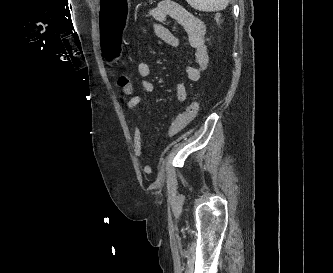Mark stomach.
Here are the masks:
<instances>
[{
	"label": "stomach",
	"instance_id": "obj_1",
	"mask_svg": "<svg viewBox=\"0 0 333 273\" xmlns=\"http://www.w3.org/2000/svg\"><path fill=\"white\" fill-rule=\"evenodd\" d=\"M130 0H99L97 7V23L100 27V38H123L132 23L128 12ZM100 51L111 65H118L122 60L123 44L121 39H102Z\"/></svg>",
	"mask_w": 333,
	"mask_h": 273
}]
</instances>
